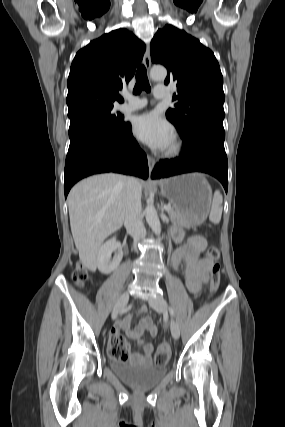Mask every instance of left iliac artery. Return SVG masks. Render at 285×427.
I'll return each mask as SVG.
<instances>
[{
  "instance_id": "left-iliac-artery-1",
  "label": "left iliac artery",
  "mask_w": 285,
  "mask_h": 427,
  "mask_svg": "<svg viewBox=\"0 0 285 427\" xmlns=\"http://www.w3.org/2000/svg\"><path fill=\"white\" fill-rule=\"evenodd\" d=\"M170 312H171L172 315H174V311H173L172 308H170Z\"/></svg>"
}]
</instances>
